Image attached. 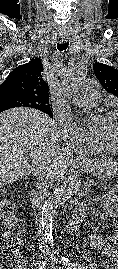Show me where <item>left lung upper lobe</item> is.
Segmentation results:
<instances>
[{
    "label": "left lung upper lobe",
    "instance_id": "5c2ea615",
    "mask_svg": "<svg viewBox=\"0 0 118 269\" xmlns=\"http://www.w3.org/2000/svg\"><path fill=\"white\" fill-rule=\"evenodd\" d=\"M93 69L103 88L118 97V70L102 63H95Z\"/></svg>",
    "mask_w": 118,
    "mask_h": 269
}]
</instances>
